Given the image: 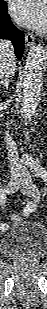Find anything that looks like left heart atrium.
<instances>
[{
	"instance_id": "39dd6f15",
	"label": "left heart atrium",
	"mask_w": 47,
	"mask_h": 309,
	"mask_svg": "<svg viewBox=\"0 0 47 309\" xmlns=\"http://www.w3.org/2000/svg\"><path fill=\"white\" fill-rule=\"evenodd\" d=\"M10 11L13 18L25 27L42 29L47 24L46 0H13Z\"/></svg>"
}]
</instances>
